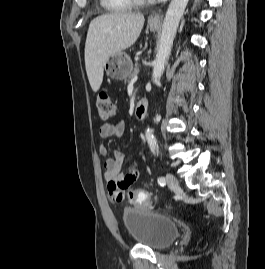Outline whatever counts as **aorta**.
<instances>
[{
    "label": "aorta",
    "instance_id": "762f6f07",
    "mask_svg": "<svg viewBox=\"0 0 265 269\" xmlns=\"http://www.w3.org/2000/svg\"><path fill=\"white\" fill-rule=\"evenodd\" d=\"M187 3L188 0H171L167 9L162 25V33L158 44L156 59L153 64L152 78L155 83L160 81L161 76L164 73L165 65L171 54V48L177 28ZM145 137L151 152L155 154L158 151V144L149 128L145 132Z\"/></svg>",
    "mask_w": 265,
    "mask_h": 269
}]
</instances>
